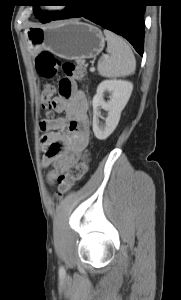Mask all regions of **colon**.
Instances as JSON below:
<instances>
[{
	"label": "colon",
	"instance_id": "1",
	"mask_svg": "<svg viewBox=\"0 0 181 300\" xmlns=\"http://www.w3.org/2000/svg\"><path fill=\"white\" fill-rule=\"evenodd\" d=\"M35 66L38 74L44 79L54 78L59 69H62L68 78L76 81H83L86 75L84 67L72 62L61 63L54 54L48 51H43L38 55ZM55 93L56 87L53 84H47L41 93L40 104L42 109L47 112L48 119L53 118L52 100ZM46 125V123L42 122L41 128L43 129ZM89 161L90 154L86 151L79 161L71 164L57 175V194L59 197L68 193L75 183L83 178L87 172Z\"/></svg>",
	"mask_w": 181,
	"mask_h": 300
}]
</instances>
